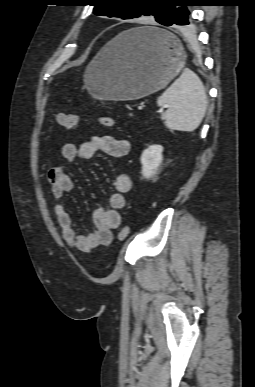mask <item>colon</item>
Returning <instances> with one entry per match:
<instances>
[{"label": "colon", "mask_w": 255, "mask_h": 387, "mask_svg": "<svg viewBox=\"0 0 255 387\" xmlns=\"http://www.w3.org/2000/svg\"><path fill=\"white\" fill-rule=\"evenodd\" d=\"M56 120L59 125H61L64 128L67 129H72L76 127L79 123L80 117L76 114H70V113H58ZM98 122L108 128H112L116 125L115 119L111 117H106V116H99L98 117ZM131 232V228L128 225L123 226L119 233H118V238L119 240H125Z\"/></svg>", "instance_id": "colon-1"}]
</instances>
